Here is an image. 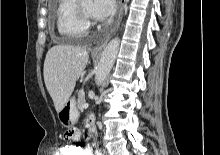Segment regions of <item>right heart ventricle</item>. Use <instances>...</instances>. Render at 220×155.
<instances>
[{
    "label": "right heart ventricle",
    "mask_w": 220,
    "mask_h": 155,
    "mask_svg": "<svg viewBox=\"0 0 220 155\" xmlns=\"http://www.w3.org/2000/svg\"><path fill=\"white\" fill-rule=\"evenodd\" d=\"M75 4L76 0H59L56 8L58 33L69 40L82 38L88 31V25L83 23L76 14Z\"/></svg>",
    "instance_id": "e07e8e85"
}]
</instances>
